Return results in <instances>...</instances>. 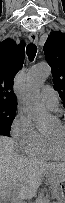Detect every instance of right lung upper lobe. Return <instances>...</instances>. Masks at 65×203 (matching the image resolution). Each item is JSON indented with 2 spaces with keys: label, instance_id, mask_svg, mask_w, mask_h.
Wrapping results in <instances>:
<instances>
[{
  "label": "right lung upper lobe",
  "instance_id": "1",
  "mask_svg": "<svg viewBox=\"0 0 65 203\" xmlns=\"http://www.w3.org/2000/svg\"><path fill=\"white\" fill-rule=\"evenodd\" d=\"M24 48L23 42L17 45L12 39L0 43V103L17 105L12 86L14 75L23 67Z\"/></svg>",
  "mask_w": 65,
  "mask_h": 203
}]
</instances>
